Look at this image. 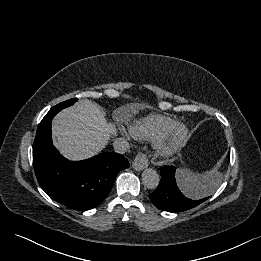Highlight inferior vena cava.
<instances>
[{
  "label": "inferior vena cava",
  "mask_w": 261,
  "mask_h": 261,
  "mask_svg": "<svg viewBox=\"0 0 261 261\" xmlns=\"http://www.w3.org/2000/svg\"><path fill=\"white\" fill-rule=\"evenodd\" d=\"M114 151L117 153H125L129 150V144L124 138H117L113 142Z\"/></svg>",
  "instance_id": "1"
}]
</instances>
